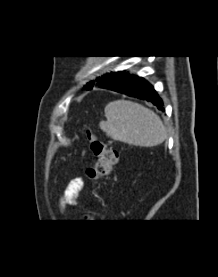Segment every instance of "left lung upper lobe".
I'll return each mask as SVG.
<instances>
[{
    "mask_svg": "<svg viewBox=\"0 0 218 277\" xmlns=\"http://www.w3.org/2000/svg\"><path fill=\"white\" fill-rule=\"evenodd\" d=\"M111 74H113V72L111 73H106L98 78H96L95 80L93 81H90L89 83H87L84 87L87 89V90H91L93 88L94 85H99L101 84L102 82H104Z\"/></svg>",
    "mask_w": 218,
    "mask_h": 277,
    "instance_id": "obj_1",
    "label": "left lung upper lobe"
}]
</instances>
